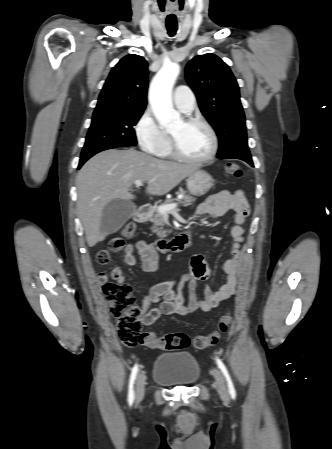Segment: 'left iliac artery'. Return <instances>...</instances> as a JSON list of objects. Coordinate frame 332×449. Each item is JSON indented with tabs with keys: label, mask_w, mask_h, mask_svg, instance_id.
I'll return each instance as SVG.
<instances>
[{
	"label": "left iliac artery",
	"mask_w": 332,
	"mask_h": 449,
	"mask_svg": "<svg viewBox=\"0 0 332 449\" xmlns=\"http://www.w3.org/2000/svg\"><path fill=\"white\" fill-rule=\"evenodd\" d=\"M216 362L218 367L220 368V370L222 371L226 381H227V385H228V389H229V393L232 397H234L236 395V391L233 385V382L231 380V377L228 373V370L226 368V366L224 365V363L221 361V359H219L218 357H216Z\"/></svg>",
	"instance_id": "44dca946"
}]
</instances>
